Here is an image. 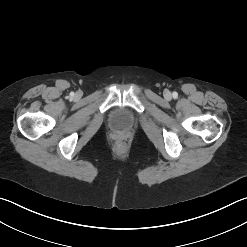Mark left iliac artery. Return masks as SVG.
Masks as SVG:
<instances>
[{"label": "left iliac artery", "instance_id": "obj_1", "mask_svg": "<svg viewBox=\"0 0 247 247\" xmlns=\"http://www.w3.org/2000/svg\"><path fill=\"white\" fill-rule=\"evenodd\" d=\"M173 97H174V98H177V97H178V93H177V92H174V93H173Z\"/></svg>", "mask_w": 247, "mask_h": 247}]
</instances>
